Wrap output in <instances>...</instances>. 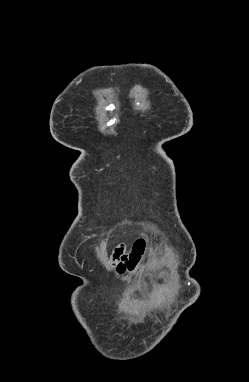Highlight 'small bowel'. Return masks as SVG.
<instances>
[{
    "label": "small bowel",
    "mask_w": 249,
    "mask_h": 382,
    "mask_svg": "<svg viewBox=\"0 0 249 382\" xmlns=\"http://www.w3.org/2000/svg\"><path fill=\"white\" fill-rule=\"evenodd\" d=\"M145 242L143 239H138L133 242L131 251L127 252L123 244L118 245L111 256L110 263L116 267L119 273H124L126 270H132L142 261L144 254Z\"/></svg>",
    "instance_id": "obj_1"
}]
</instances>
